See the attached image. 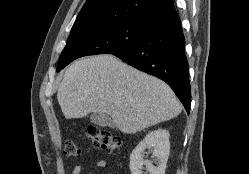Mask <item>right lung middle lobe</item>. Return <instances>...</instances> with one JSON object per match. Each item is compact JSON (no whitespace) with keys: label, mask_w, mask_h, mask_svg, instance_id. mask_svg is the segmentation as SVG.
Here are the masks:
<instances>
[{"label":"right lung middle lobe","mask_w":249,"mask_h":174,"mask_svg":"<svg viewBox=\"0 0 249 174\" xmlns=\"http://www.w3.org/2000/svg\"><path fill=\"white\" fill-rule=\"evenodd\" d=\"M145 27L146 22L127 20L71 32L58 61L57 72L83 56L125 50L143 35Z\"/></svg>","instance_id":"obj_1"}]
</instances>
